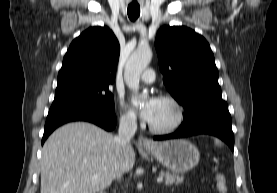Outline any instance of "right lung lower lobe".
Returning <instances> with one entry per match:
<instances>
[{
    "instance_id": "98d812e1",
    "label": "right lung lower lobe",
    "mask_w": 277,
    "mask_h": 193,
    "mask_svg": "<svg viewBox=\"0 0 277 193\" xmlns=\"http://www.w3.org/2000/svg\"><path fill=\"white\" fill-rule=\"evenodd\" d=\"M71 121H88L107 131L113 130L117 123L114 112L84 103L54 101L46 119L42 145L57 127Z\"/></svg>"
}]
</instances>
